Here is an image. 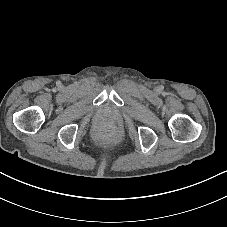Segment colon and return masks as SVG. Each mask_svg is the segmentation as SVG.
<instances>
[{
    "instance_id": "obj_1",
    "label": "colon",
    "mask_w": 227,
    "mask_h": 227,
    "mask_svg": "<svg viewBox=\"0 0 227 227\" xmlns=\"http://www.w3.org/2000/svg\"><path fill=\"white\" fill-rule=\"evenodd\" d=\"M102 136L104 139L113 138L115 136V130L111 127H104Z\"/></svg>"
}]
</instances>
